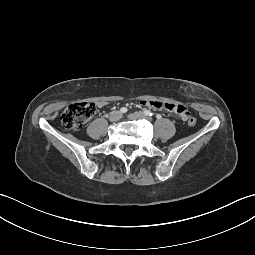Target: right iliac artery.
Returning a JSON list of instances; mask_svg holds the SVG:
<instances>
[{"mask_svg": "<svg viewBox=\"0 0 255 255\" xmlns=\"http://www.w3.org/2000/svg\"><path fill=\"white\" fill-rule=\"evenodd\" d=\"M127 111H128V109L125 108V107H123V108L120 109V112H121V113H126Z\"/></svg>", "mask_w": 255, "mask_h": 255, "instance_id": "1", "label": "right iliac artery"}]
</instances>
